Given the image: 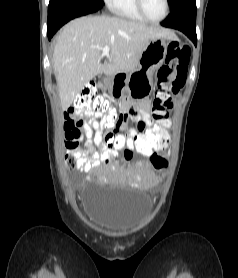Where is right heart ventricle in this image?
<instances>
[{
    "label": "right heart ventricle",
    "instance_id": "1",
    "mask_svg": "<svg viewBox=\"0 0 238 278\" xmlns=\"http://www.w3.org/2000/svg\"><path fill=\"white\" fill-rule=\"evenodd\" d=\"M108 6L111 12L119 17L138 22L146 21L139 13L135 0H112Z\"/></svg>",
    "mask_w": 238,
    "mask_h": 278
}]
</instances>
